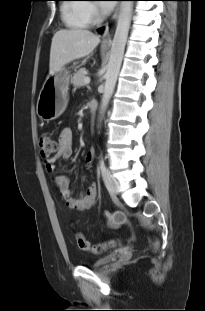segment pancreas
<instances>
[{
    "mask_svg": "<svg viewBox=\"0 0 205 311\" xmlns=\"http://www.w3.org/2000/svg\"><path fill=\"white\" fill-rule=\"evenodd\" d=\"M87 71L85 68L78 70L71 78V83L74 87L79 88L85 85L84 79L86 77Z\"/></svg>",
    "mask_w": 205,
    "mask_h": 311,
    "instance_id": "cf45deb5",
    "label": "pancreas"
}]
</instances>
